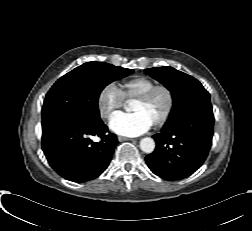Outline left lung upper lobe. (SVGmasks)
Listing matches in <instances>:
<instances>
[{"mask_svg":"<svg viewBox=\"0 0 252 231\" xmlns=\"http://www.w3.org/2000/svg\"><path fill=\"white\" fill-rule=\"evenodd\" d=\"M145 72L172 93L173 109L169 121L189 109L212 108L209 93L192 76L168 66L149 68Z\"/></svg>","mask_w":252,"mask_h":231,"instance_id":"obj_1","label":"left lung upper lobe"}]
</instances>
